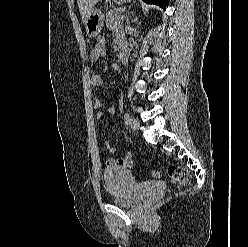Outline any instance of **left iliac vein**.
Wrapping results in <instances>:
<instances>
[{
  "mask_svg": "<svg viewBox=\"0 0 248 247\" xmlns=\"http://www.w3.org/2000/svg\"><path fill=\"white\" fill-rule=\"evenodd\" d=\"M130 127H131L134 131L138 130L139 127H140L139 121H138L136 118H131V120H130Z\"/></svg>",
  "mask_w": 248,
  "mask_h": 247,
  "instance_id": "1",
  "label": "left iliac vein"
}]
</instances>
